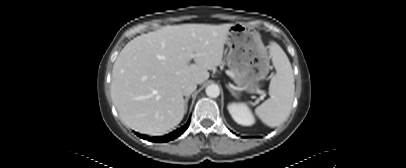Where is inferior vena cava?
I'll return each instance as SVG.
<instances>
[{
  "label": "inferior vena cava",
  "instance_id": "1",
  "mask_svg": "<svg viewBox=\"0 0 406 168\" xmlns=\"http://www.w3.org/2000/svg\"><path fill=\"white\" fill-rule=\"evenodd\" d=\"M197 88V84L193 81L186 82L182 87V93L184 96H190L192 92H194Z\"/></svg>",
  "mask_w": 406,
  "mask_h": 168
}]
</instances>
